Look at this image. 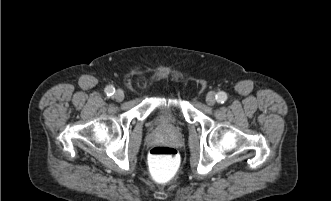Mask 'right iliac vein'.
Instances as JSON below:
<instances>
[{
  "instance_id": "1",
  "label": "right iliac vein",
  "mask_w": 331,
  "mask_h": 201,
  "mask_svg": "<svg viewBox=\"0 0 331 201\" xmlns=\"http://www.w3.org/2000/svg\"><path fill=\"white\" fill-rule=\"evenodd\" d=\"M114 98L117 101H122L124 99V92L121 89H118L114 94Z\"/></svg>"
}]
</instances>
